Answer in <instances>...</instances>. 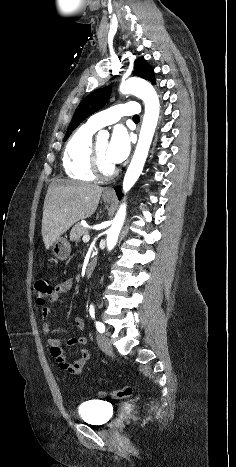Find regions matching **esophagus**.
<instances>
[{
	"label": "esophagus",
	"mask_w": 236,
	"mask_h": 467,
	"mask_svg": "<svg viewBox=\"0 0 236 467\" xmlns=\"http://www.w3.org/2000/svg\"><path fill=\"white\" fill-rule=\"evenodd\" d=\"M104 194L109 195V196H113V195H115V191H114L113 188H108V189L105 190Z\"/></svg>",
	"instance_id": "1"
}]
</instances>
